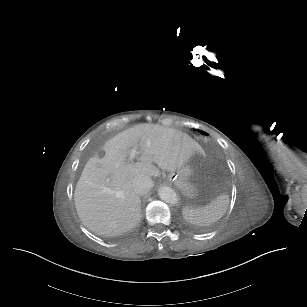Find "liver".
<instances>
[{
  "mask_svg": "<svg viewBox=\"0 0 307 307\" xmlns=\"http://www.w3.org/2000/svg\"><path fill=\"white\" fill-rule=\"evenodd\" d=\"M139 147L141 162H128L130 149ZM103 158H90L76 185L74 200L83 225L98 235H118L132 229L141 216V201L133 191L136 177H160L159 169L174 172L198 151L188 134L158 124L129 128L103 147ZM103 187L111 189L104 192Z\"/></svg>",
  "mask_w": 307,
  "mask_h": 307,
  "instance_id": "6515ba94",
  "label": "liver"
}]
</instances>
